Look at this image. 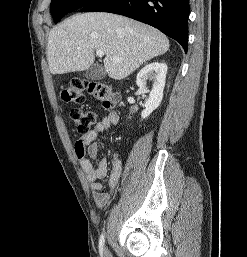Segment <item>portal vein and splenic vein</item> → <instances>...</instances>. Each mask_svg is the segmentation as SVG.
<instances>
[{
    "label": "portal vein and splenic vein",
    "mask_w": 247,
    "mask_h": 257,
    "mask_svg": "<svg viewBox=\"0 0 247 257\" xmlns=\"http://www.w3.org/2000/svg\"><path fill=\"white\" fill-rule=\"evenodd\" d=\"M96 54H97V56L102 57V56H104V51H102V50H96ZM112 60H113V61H120L119 58H113Z\"/></svg>",
    "instance_id": "1"
}]
</instances>
